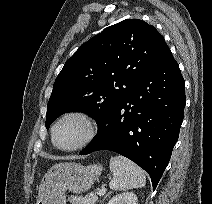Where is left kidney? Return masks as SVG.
<instances>
[{
  "mask_svg": "<svg viewBox=\"0 0 212 204\" xmlns=\"http://www.w3.org/2000/svg\"><path fill=\"white\" fill-rule=\"evenodd\" d=\"M108 204H137V196L133 192H124L112 197Z\"/></svg>",
  "mask_w": 212,
  "mask_h": 204,
  "instance_id": "left-kidney-1",
  "label": "left kidney"
}]
</instances>
